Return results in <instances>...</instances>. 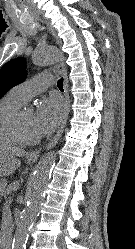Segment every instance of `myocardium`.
I'll use <instances>...</instances> for the list:
<instances>
[{"mask_svg":"<svg viewBox=\"0 0 135 249\" xmlns=\"http://www.w3.org/2000/svg\"><path fill=\"white\" fill-rule=\"evenodd\" d=\"M25 109L26 108L23 106L16 109L8 118V126L10 130L12 131V133L14 134V136L19 140L20 143L27 144V145L36 144L39 142V137L37 136V137L31 138V137L26 136L23 133L21 126H20V118Z\"/></svg>","mask_w":135,"mask_h":249,"instance_id":"myocardium-1","label":"myocardium"}]
</instances>
